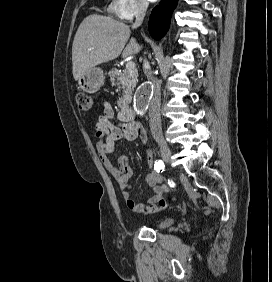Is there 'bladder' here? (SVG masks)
Returning a JSON list of instances; mask_svg holds the SVG:
<instances>
[{"mask_svg":"<svg viewBox=\"0 0 272 282\" xmlns=\"http://www.w3.org/2000/svg\"><path fill=\"white\" fill-rule=\"evenodd\" d=\"M173 222H174V218L167 217V218L162 219L158 223H156L154 228H158L159 229V228L167 227L170 224H172Z\"/></svg>","mask_w":272,"mask_h":282,"instance_id":"bladder-1","label":"bladder"}]
</instances>
